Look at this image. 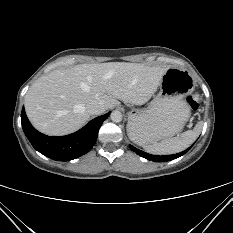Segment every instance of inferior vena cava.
Segmentation results:
<instances>
[{
    "instance_id": "obj_1",
    "label": "inferior vena cava",
    "mask_w": 233,
    "mask_h": 233,
    "mask_svg": "<svg viewBox=\"0 0 233 233\" xmlns=\"http://www.w3.org/2000/svg\"><path fill=\"white\" fill-rule=\"evenodd\" d=\"M106 108L102 102L92 101L87 104V111L91 115H100L105 112Z\"/></svg>"
}]
</instances>
